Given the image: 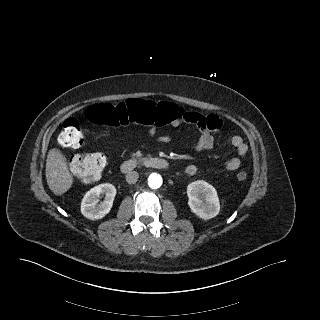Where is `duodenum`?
Returning a JSON list of instances; mask_svg holds the SVG:
<instances>
[{"label":"duodenum","instance_id":"410a0bca","mask_svg":"<svg viewBox=\"0 0 320 320\" xmlns=\"http://www.w3.org/2000/svg\"><path fill=\"white\" fill-rule=\"evenodd\" d=\"M140 167L165 170L170 164L163 158L128 159L122 163L121 171L127 173Z\"/></svg>","mask_w":320,"mask_h":320}]
</instances>
